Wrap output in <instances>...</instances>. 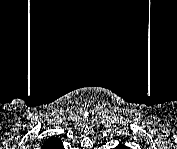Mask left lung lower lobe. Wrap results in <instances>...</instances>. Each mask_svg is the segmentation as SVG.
Returning <instances> with one entry per match:
<instances>
[{
    "instance_id": "1",
    "label": "left lung lower lobe",
    "mask_w": 177,
    "mask_h": 149,
    "mask_svg": "<svg viewBox=\"0 0 177 149\" xmlns=\"http://www.w3.org/2000/svg\"><path fill=\"white\" fill-rule=\"evenodd\" d=\"M120 148H124V145L120 146Z\"/></svg>"
}]
</instances>
